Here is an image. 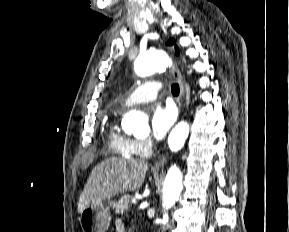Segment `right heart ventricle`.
Segmentation results:
<instances>
[{"mask_svg": "<svg viewBox=\"0 0 289 232\" xmlns=\"http://www.w3.org/2000/svg\"><path fill=\"white\" fill-rule=\"evenodd\" d=\"M109 150L116 155L131 158L136 154L134 150V140L121 133L114 121H111L108 131Z\"/></svg>", "mask_w": 289, "mask_h": 232, "instance_id": "1", "label": "right heart ventricle"}]
</instances>
